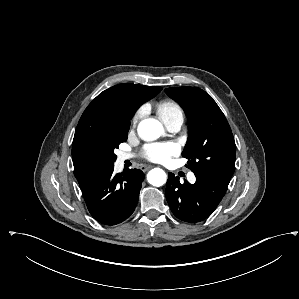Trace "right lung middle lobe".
<instances>
[{"instance_id":"obj_1","label":"right lung middle lobe","mask_w":299,"mask_h":299,"mask_svg":"<svg viewBox=\"0 0 299 299\" xmlns=\"http://www.w3.org/2000/svg\"><path fill=\"white\" fill-rule=\"evenodd\" d=\"M129 126V121L112 122L77 145L84 181L114 166V149L127 140Z\"/></svg>"}]
</instances>
